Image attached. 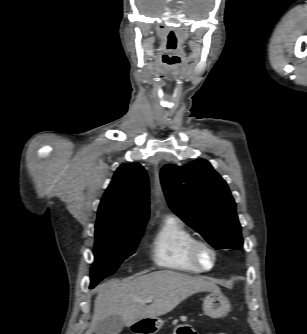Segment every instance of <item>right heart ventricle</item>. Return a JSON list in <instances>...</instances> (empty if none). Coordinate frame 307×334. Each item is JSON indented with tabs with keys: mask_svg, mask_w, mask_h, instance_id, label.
Masks as SVG:
<instances>
[{
	"mask_svg": "<svg viewBox=\"0 0 307 334\" xmlns=\"http://www.w3.org/2000/svg\"><path fill=\"white\" fill-rule=\"evenodd\" d=\"M194 239V234L177 217H164L150 240L153 263L160 268L177 272H204L189 257L188 247Z\"/></svg>",
	"mask_w": 307,
	"mask_h": 334,
	"instance_id": "obj_1",
	"label": "right heart ventricle"
}]
</instances>
